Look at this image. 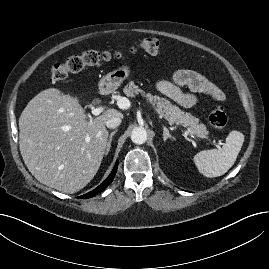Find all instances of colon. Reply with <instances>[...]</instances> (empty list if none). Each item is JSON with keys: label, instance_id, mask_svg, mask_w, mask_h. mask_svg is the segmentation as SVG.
<instances>
[{"label": "colon", "instance_id": "obj_1", "mask_svg": "<svg viewBox=\"0 0 269 269\" xmlns=\"http://www.w3.org/2000/svg\"><path fill=\"white\" fill-rule=\"evenodd\" d=\"M160 50L161 45L156 38H143L129 48V52L132 54L138 52L157 54ZM122 57L123 52L121 51L86 50L67 58L63 63L54 65L50 73L51 80L59 82L66 79L70 74L78 73L86 67L119 60ZM208 120L210 125L218 131L223 130L227 124V116L221 108L211 109Z\"/></svg>", "mask_w": 269, "mask_h": 269}]
</instances>
